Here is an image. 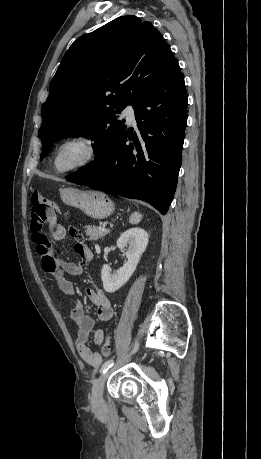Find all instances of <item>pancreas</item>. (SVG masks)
<instances>
[{
  "mask_svg": "<svg viewBox=\"0 0 261 459\" xmlns=\"http://www.w3.org/2000/svg\"><path fill=\"white\" fill-rule=\"evenodd\" d=\"M85 229L86 235L89 236V240L91 241H96L99 238L104 237L108 233V231H102L98 227L91 225L85 226Z\"/></svg>",
  "mask_w": 261,
  "mask_h": 459,
  "instance_id": "pancreas-1",
  "label": "pancreas"
}]
</instances>
